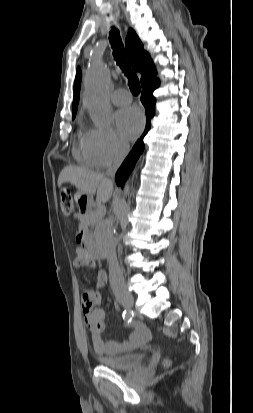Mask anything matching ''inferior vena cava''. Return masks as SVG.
Returning <instances> with one entry per match:
<instances>
[{
  "label": "inferior vena cava",
  "mask_w": 253,
  "mask_h": 413,
  "mask_svg": "<svg viewBox=\"0 0 253 413\" xmlns=\"http://www.w3.org/2000/svg\"><path fill=\"white\" fill-rule=\"evenodd\" d=\"M128 146L121 147L113 161V165L107 170L109 177H114L116 171L122 164L128 153ZM113 219L105 220L96 234V240L107 257L109 264V281L113 292L126 291V285L122 271L116 256V239L113 237Z\"/></svg>",
  "instance_id": "inferior-vena-cava-1"
}]
</instances>
